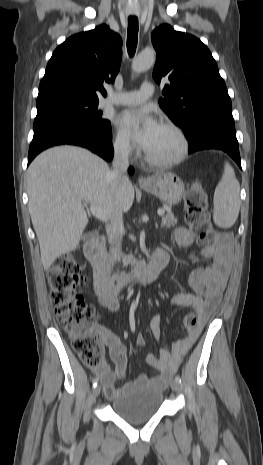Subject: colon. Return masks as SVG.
I'll use <instances>...</instances> for the list:
<instances>
[{"mask_svg": "<svg viewBox=\"0 0 263 465\" xmlns=\"http://www.w3.org/2000/svg\"><path fill=\"white\" fill-rule=\"evenodd\" d=\"M185 220L198 243L206 245L215 239L209 221L207 195L204 187L193 182L184 197ZM50 299L59 324L71 336L73 348L85 365L99 369L104 365L103 337L96 328L95 310L88 304L77 288L84 284L82 267L71 255L58 259L48 273ZM198 316L188 313L183 319V328H197Z\"/></svg>", "mask_w": 263, "mask_h": 465, "instance_id": "obj_1", "label": "colon"}]
</instances>
